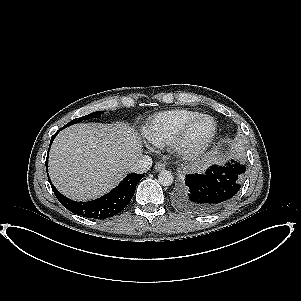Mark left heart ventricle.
Wrapping results in <instances>:
<instances>
[{
    "label": "left heart ventricle",
    "instance_id": "b2bd125f",
    "mask_svg": "<svg viewBox=\"0 0 301 301\" xmlns=\"http://www.w3.org/2000/svg\"><path fill=\"white\" fill-rule=\"evenodd\" d=\"M211 122L209 120H202L198 122L190 132L189 140L194 143L203 141L211 132Z\"/></svg>",
    "mask_w": 301,
    "mask_h": 301
}]
</instances>
